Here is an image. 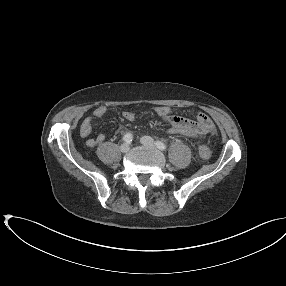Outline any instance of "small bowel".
<instances>
[{
    "mask_svg": "<svg viewBox=\"0 0 286 286\" xmlns=\"http://www.w3.org/2000/svg\"><path fill=\"white\" fill-rule=\"evenodd\" d=\"M107 112V108L103 105L97 106L93 110V117L101 118ZM155 112L167 124L166 131L173 135H182L192 139H200L206 134L214 130V124L210 117L205 113L198 112L193 118H186L183 116L173 115L172 111L167 106H157ZM122 116L125 120L132 122L135 120V115L131 111H124ZM125 131L124 128L121 129ZM92 132V117H85L80 125V135L87 138L86 145L93 148L101 144L105 140V135L100 133L95 138L89 137Z\"/></svg>",
    "mask_w": 286,
    "mask_h": 286,
    "instance_id": "1",
    "label": "small bowel"
}]
</instances>
